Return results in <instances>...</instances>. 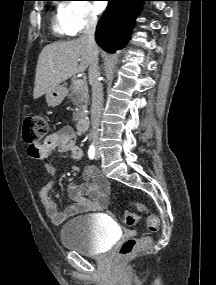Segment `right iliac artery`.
I'll use <instances>...</instances> for the list:
<instances>
[{
	"instance_id": "right-iliac-artery-1",
	"label": "right iliac artery",
	"mask_w": 216,
	"mask_h": 285,
	"mask_svg": "<svg viewBox=\"0 0 216 285\" xmlns=\"http://www.w3.org/2000/svg\"><path fill=\"white\" fill-rule=\"evenodd\" d=\"M88 156L90 159H93L95 156V147L94 145H90L89 150H88Z\"/></svg>"
}]
</instances>
